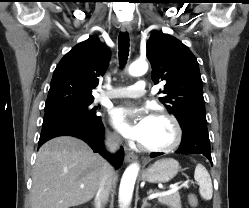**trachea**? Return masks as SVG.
Returning <instances> with one entry per match:
<instances>
[{"mask_svg":"<svg viewBox=\"0 0 249 208\" xmlns=\"http://www.w3.org/2000/svg\"><path fill=\"white\" fill-rule=\"evenodd\" d=\"M119 62L123 68L129 55V35L128 33H120L118 37Z\"/></svg>","mask_w":249,"mask_h":208,"instance_id":"obj_1","label":"trachea"}]
</instances>
